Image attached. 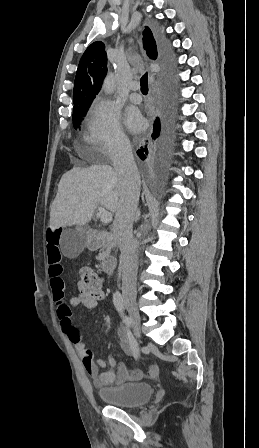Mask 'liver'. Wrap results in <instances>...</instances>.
I'll list each match as a JSON object with an SVG mask.
<instances>
[{
  "label": "liver",
  "mask_w": 259,
  "mask_h": 448,
  "mask_svg": "<svg viewBox=\"0 0 259 448\" xmlns=\"http://www.w3.org/2000/svg\"><path fill=\"white\" fill-rule=\"evenodd\" d=\"M119 180L111 166L73 168L62 176L50 210L52 232L66 226H85L97 208L117 212Z\"/></svg>",
  "instance_id": "1"
}]
</instances>
